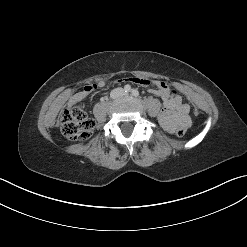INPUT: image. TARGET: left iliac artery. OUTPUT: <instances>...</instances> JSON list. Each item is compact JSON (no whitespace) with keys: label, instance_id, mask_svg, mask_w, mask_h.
I'll list each match as a JSON object with an SVG mask.
<instances>
[{"label":"left iliac artery","instance_id":"left-iliac-artery-1","mask_svg":"<svg viewBox=\"0 0 247 247\" xmlns=\"http://www.w3.org/2000/svg\"><path fill=\"white\" fill-rule=\"evenodd\" d=\"M131 93H132V95L135 96V97H138V96H139V92H138V90H136V89H132Z\"/></svg>","mask_w":247,"mask_h":247}]
</instances>
